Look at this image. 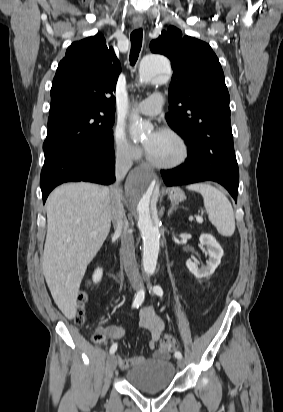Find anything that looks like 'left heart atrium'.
Wrapping results in <instances>:
<instances>
[{"instance_id":"39dd6f15","label":"left heart atrium","mask_w":283,"mask_h":412,"mask_svg":"<svg viewBox=\"0 0 283 412\" xmlns=\"http://www.w3.org/2000/svg\"><path fill=\"white\" fill-rule=\"evenodd\" d=\"M159 132H160V131H156V132H154V135H157Z\"/></svg>"}]
</instances>
